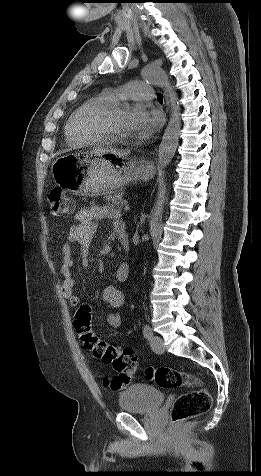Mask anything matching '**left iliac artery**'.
Returning a JSON list of instances; mask_svg holds the SVG:
<instances>
[{"label":"left iliac artery","mask_w":261,"mask_h":476,"mask_svg":"<svg viewBox=\"0 0 261 476\" xmlns=\"http://www.w3.org/2000/svg\"><path fill=\"white\" fill-rule=\"evenodd\" d=\"M143 335L146 339H150L153 335V332H152V329L149 325H144V328H143Z\"/></svg>","instance_id":"44dca946"}]
</instances>
